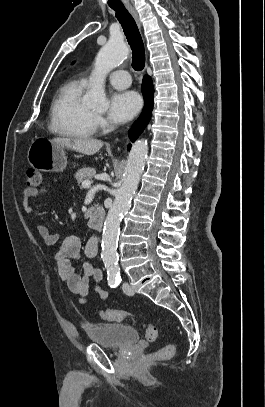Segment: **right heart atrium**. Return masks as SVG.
<instances>
[{"instance_id":"d8ad5b80","label":"right heart atrium","mask_w":265,"mask_h":407,"mask_svg":"<svg viewBox=\"0 0 265 407\" xmlns=\"http://www.w3.org/2000/svg\"><path fill=\"white\" fill-rule=\"evenodd\" d=\"M96 124L99 125V126H104V125H105V122H104V120H103L102 117L97 116V117H96Z\"/></svg>"}]
</instances>
